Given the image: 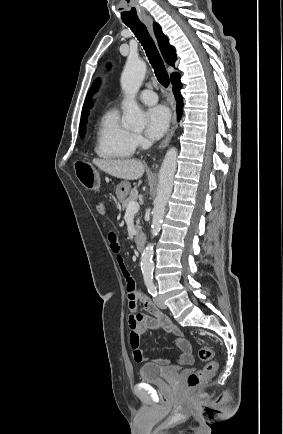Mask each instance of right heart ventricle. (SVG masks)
Segmentation results:
<instances>
[{
  "instance_id": "right-heart-ventricle-1",
  "label": "right heart ventricle",
  "mask_w": 283,
  "mask_h": 434,
  "mask_svg": "<svg viewBox=\"0 0 283 434\" xmlns=\"http://www.w3.org/2000/svg\"><path fill=\"white\" fill-rule=\"evenodd\" d=\"M94 150L104 159H126L133 155L132 133L120 123L118 110L110 109L101 117Z\"/></svg>"
}]
</instances>
